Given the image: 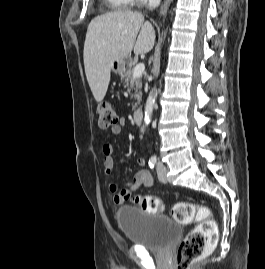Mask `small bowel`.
Returning <instances> with one entry per match:
<instances>
[{
	"instance_id": "small-bowel-1",
	"label": "small bowel",
	"mask_w": 265,
	"mask_h": 269,
	"mask_svg": "<svg viewBox=\"0 0 265 269\" xmlns=\"http://www.w3.org/2000/svg\"><path fill=\"white\" fill-rule=\"evenodd\" d=\"M125 125V122L121 120L116 126L111 128V132L114 135H119L122 131V127ZM102 153H103V163H104V172L107 176H110L115 162H114V147L110 143H105L102 146ZM137 164L140 167H144L146 164L145 159L139 158L137 159ZM154 184L153 177L151 176L150 172L144 168L139 170L134 178L126 183L125 187L122 189H119L117 185L110 181L108 183V189L110 192L114 194L113 196V203L115 205H122L125 202L129 201L131 199L132 194L138 190L141 186H144L146 188L152 187Z\"/></svg>"
}]
</instances>
